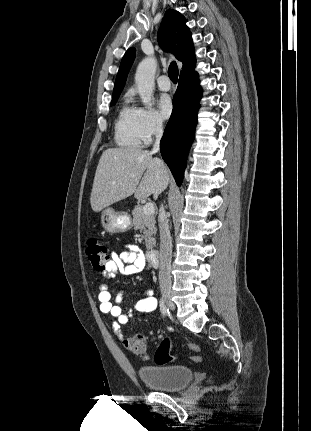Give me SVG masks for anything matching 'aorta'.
I'll return each mask as SVG.
<instances>
[{
	"instance_id": "762f6f07",
	"label": "aorta",
	"mask_w": 311,
	"mask_h": 431,
	"mask_svg": "<svg viewBox=\"0 0 311 431\" xmlns=\"http://www.w3.org/2000/svg\"><path fill=\"white\" fill-rule=\"evenodd\" d=\"M157 62L155 58H145L140 62L136 74L135 84L138 94L145 106H152L153 90L155 86L154 78L156 74Z\"/></svg>"
}]
</instances>
